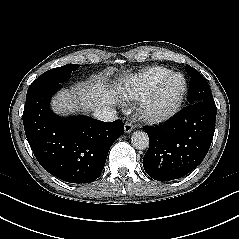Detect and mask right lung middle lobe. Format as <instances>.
<instances>
[{
  "label": "right lung middle lobe",
  "mask_w": 239,
  "mask_h": 239,
  "mask_svg": "<svg viewBox=\"0 0 239 239\" xmlns=\"http://www.w3.org/2000/svg\"><path fill=\"white\" fill-rule=\"evenodd\" d=\"M79 65L67 64L62 67L53 68L40 75L28 88V93L47 88L57 83H61L71 77V72L75 71Z\"/></svg>",
  "instance_id": "dd1d6c3e"
}]
</instances>
